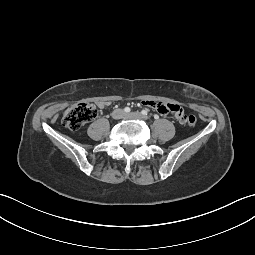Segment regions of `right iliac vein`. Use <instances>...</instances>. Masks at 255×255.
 <instances>
[{"mask_svg":"<svg viewBox=\"0 0 255 255\" xmlns=\"http://www.w3.org/2000/svg\"><path fill=\"white\" fill-rule=\"evenodd\" d=\"M111 115L113 119L118 120L124 117V111L122 109H116Z\"/></svg>","mask_w":255,"mask_h":255,"instance_id":"1","label":"right iliac vein"}]
</instances>
